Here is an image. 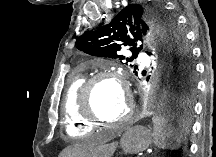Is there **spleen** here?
I'll return each instance as SVG.
<instances>
[{
    "label": "spleen",
    "mask_w": 216,
    "mask_h": 157,
    "mask_svg": "<svg viewBox=\"0 0 216 157\" xmlns=\"http://www.w3.org/2000/svg\"><path fill=\"white\" fill-rule=\"evenodd\" d=\"M154 144L160 149L176 150L180 147L182 135L177 133L164 117L153 118Z\"/></svg>",
    "instance_id": "obj_1"
}]
</instances>
